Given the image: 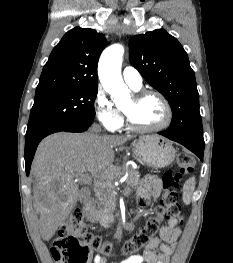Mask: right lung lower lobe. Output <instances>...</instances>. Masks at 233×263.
Wrapping results in <instances>:
<instances>
[{
	"label": "right lung lower lobe",
	"mask_w": 233,
	"mask_h": 263,
	"mask_svg": "<svg viewBox=\"0 0 233 263\" xmlns=\"http://www.w3.org/2000/svg\"><path fill=\"white\" fill-rule=\"evenodd\" d=\"M93 119H86L80 121H69L54 124L45 127L29 136H25V164L26 174L29 175L31 163L37 149L39 142L49 134L67 131V132H83L86 131L92 124Z\"/></svg>",
	"instance_id": "obj_1"
}]
</instances>
